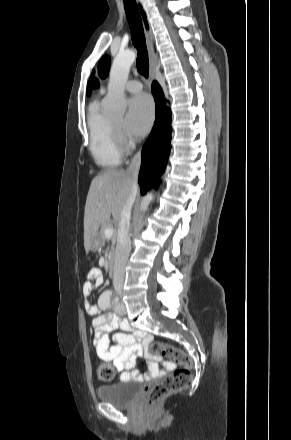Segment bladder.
Listing matches in <instances>:
<instances>
[{"label":"bladder","instance_id":"bladder-1","mask_svg":"<svg viewBox=\"0 0 291 440\" xmlns=\"http://www.w3.org/2000/svg\"><path fill=\"white\" fill-rule=\"evenodd\" d=\"M96 395L102 401L114 406L123 407L135 402L140 395V389L135 386L133 381L120 380L116 383L99 387Z\"/></svg>","mask_w":291,"mask_h":440}]
</instances>
